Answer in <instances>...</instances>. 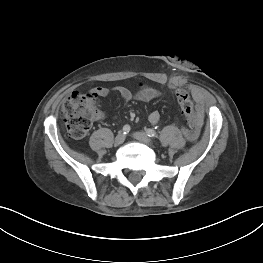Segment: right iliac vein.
Instances as JSON below:
<instances>
[{"label": "right iliac vein", "instance_id": "right-iliac-vein-1", "mask_svg": "<svg viewBox=\"0 0 263 263\" xmlns=\"http://www.w3.org/2000/svg\"><path fill=\"white\" fill-rule=\"evenodd\" d=\"M125 140V135L123 133H119L114 140L115 145H120L124 142Z\"/></svg>", "mask_w": 263, "mask_h": 263}]
</instances>
